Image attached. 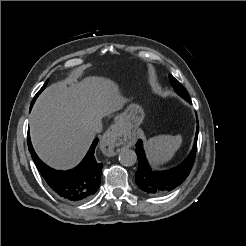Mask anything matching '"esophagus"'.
I'll return each mask as SVG.
<instances>
[{
    "instance_id": "1",
    "label": "esophagus",
    "mask_w": 246,
    "mask_h": 246,
    "mask_svg": "<svg viewBox=\"0 0 246 246\" xmlns=\"http://www.w3.org/2000/svg\"><path fill=\"white\" fill-rule=\"evenodd\" d=\"M122 134L121 128L118 124L112 125L103 135L100 148L107 156H114L117 154L115 148L118 146L120 136Z\"/></svg>"
}]
</instances>
